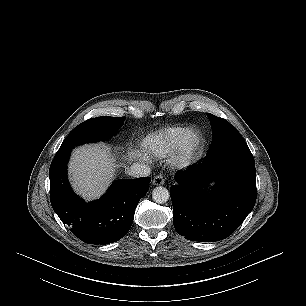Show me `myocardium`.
Returning a JSON list of instances; mask_svg holds the SVG:
<instances>
[{"label":"myocardium","instance_id":"1","mask_svg":"<svg viewBox=\"0 0 306 306\" xmlns=\"http://www.w3.org/2000/svg\"><path fill=\"white\" fill-rule=\"evenodd\" d=\"M197 135L194 144H189L188 138L191 134ZM205 138L202 131L196 127L187 128L181 135L176 148V158L180 166H189L195 163L203 153Z\"/></svg>","mask_w":306,"mask_h":306}]
</instances>
